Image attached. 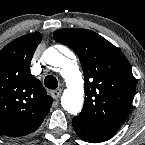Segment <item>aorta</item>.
I'll list each match as a JSON object with an SVG mask.
<instances>
[{
	"instance_id": "obj_1",
	"label": "aorta",
	"mask_w": 145,
	"mask_h": 145,
	"mask_svg": "<svg viewBox=\"0 0 145 145\" xmlns=\"http://www.w3.org/2000/svg\"><path fill=\"white\" fill-rule=\"evenodd\" d=\"M43 57L48 65L61 69L68 83L61 97L62 107L68 113L78 115L82 110L84 96L83 79L79 68L54 48H48Z\"/></svg>"
}]
</instances>
